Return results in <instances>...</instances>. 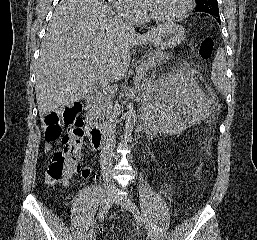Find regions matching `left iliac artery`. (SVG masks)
Segmentation results:
<instances>
[{
	"instance_id": "44dca946",
	"label": "left iliac artery",
	"mask_w": 257,
	"mask_h": 240,
	"mask_svg": "<svg viewBox=\"0 0 257 240\" xmlns=\"http://www.w3.org/2000/svg\"><path fill=\"white\" fill-rule=\"evenodd\" d=\"M129 203H130L131 211H132L137 223L140 225H143V219H142V216H141L137 206L135 205V203L132 200H129Z\"/></svg>"
}]
</instances>
